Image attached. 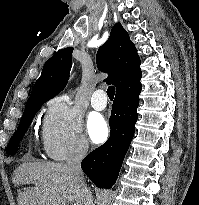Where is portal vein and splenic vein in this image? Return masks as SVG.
I'll list each match as a JSON object with an SVG mask.
<instances>
[{"label":"portal vein and splenic vein","instance_id":"1","mask_svg":"<svg viewBox=\"0 0 199 205\" xmlns=\"http://www.w3.org/2000/svg\"><path fill=\"white\" fill-rule=\"evenodd\" d=\"M64 198H65L69 203H72L71 199L68 198L67 196H64ZM74 205H76V204H74Z\"/></svg>","mask_w":199,"mask_h":205}]
</instances>
